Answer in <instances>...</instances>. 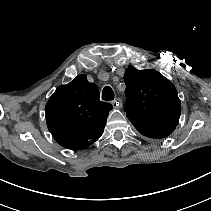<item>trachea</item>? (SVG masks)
<instances>
[{
  "mask_svg": "<svg viewBox=\"0 0 211 211\" xmlns=\"http://www.w3.org/2000/svg\"><path fill=\"white\" fill-rule=\"evenodd\" d=\"M102 99L105 101H110L114 99V91L110 86H105L102 91Z\"/></svg>",
  "mask_w": 211,
  "mask_h": 211,
  "instance_id": "trachea-1",
  "label": "trachea"
}]
</instances>
